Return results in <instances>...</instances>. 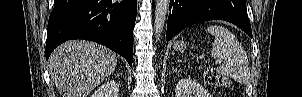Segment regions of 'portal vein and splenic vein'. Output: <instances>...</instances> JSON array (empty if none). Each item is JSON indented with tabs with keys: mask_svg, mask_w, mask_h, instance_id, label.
<instances>
[{
	"mask_svg": "<svg viewBox=\"0 0 302 97\" xmlns=\"http://www.w3.org/2000/svg\"><path fill=\"white\" fill-rule=\"evenodd\" d=\"M215 63L219 64V63H221V61H220V60H217Z\"/></svg>",
	"mask_w": 302,
	"mask_h": 97,
	"instance_id": "18ae733b",
	"label": "portal vein and splenic vein"
}]
</instances>
